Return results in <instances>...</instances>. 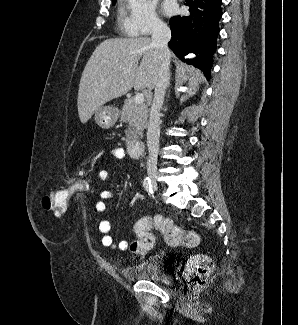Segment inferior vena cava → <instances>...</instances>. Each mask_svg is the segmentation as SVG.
<instances>
[{"instance_id": "inferior-vena-cava-1", "label": "inferior vena cava", "mask_w": 298, "mask_h": 325, "mask_svg": "<svg viewBox=\"0 0 298 325\" xmlns=\"http://www.w3.org/2000/svg\"><path fill=\"white\" fill-rule=\"evenodd\" d=\"M171 38V30L162 20H153L151 44L157 50L159 60L158 80L154 90V98L150 108V116L147 130V175L150 179L157 177V158L160 138L159 116L163 106L165 90L169 80L170 50L168 42Z\"/></svg>"}]
</instances>
